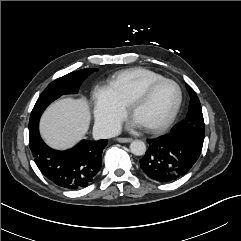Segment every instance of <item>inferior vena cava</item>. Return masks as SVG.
Masks as SVG:
<instances>
[{
    "mask_svg": "<svg viewBox=\"0 0 241 241\" xmlns=\"http://www.w3.org/2000/svg\"><path fill=\"white\" fill-rule=\"evenodd\" d=\"M121 133V125L118 123L96 122L93 126V138L109 139L118 136Z\"/></svg>",
    "mask_w": 241,
    "mask_h": 241,
    "instance_id": "1",
    "label": "inferior vena cava"
}]
</instances>
